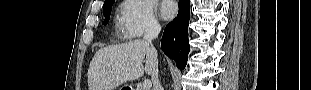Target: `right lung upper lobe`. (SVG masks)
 <instances>
[{
    "mask_svg": "<svg viewBox=\"0 0 311 90\" xmlns=\"http://www.w3.org/2000/svg\"><path fill=\"white\" fill-rule=\"evenodd\" d=\"M110 1H111V0H105L104 4H106V3L110 2Z\"/></svg>",
    "mask_w": 311,
    "mask_h": 90,
    "instance_id": "cb5924a9",
    "label": "right lung upper lobe"
}]
</instances>
